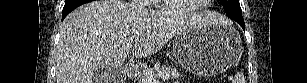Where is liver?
Returning a JSON list of instances; mask_svg holds the SVG:
<instances>
[{"instance_id": "6515ba94", "label": "liver", "mask_w": 307, "mask_h": 83, "mask_svg": "<svg viewBox=\"0 0 307 83\" xmlns=\"http://www.w3.org/2000/svg\"><path fill=\"white\" fill-rule=\"evenodd\" d=\"M218 20L211 12L171 15L122 0L84 4L62 23L56 51L57 83H96L97 70L121 69L130 50L136 58H145L175 35Z\"/></svg>"}]
</instances>
